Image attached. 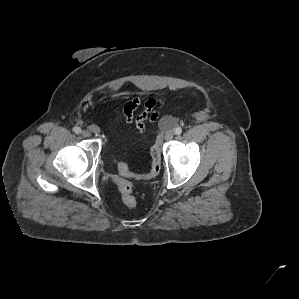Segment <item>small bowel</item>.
<instances>
[{
  "label": "small bowel",
  "mask_w": 299,
  "mask_h": 299,
  "mask_svg": "<svg viewBox=\"0 0 299 299\" xmlns=\"http://www.w3.org/2000/svg\"><path fill=\"white\" fill-rule=\"evenodd\" d=\"M164 104L163 99L148 98L142 100L139 97L133 98L128 101L122 108L117 110L121 114L126 124H135L138 133H143L146 129V123H154L158 120L160 109ZM143 105V110L135 115L136 110Z\"/></svg>",
  "instance_id": "small-bowel-1"
}]
</instances>
